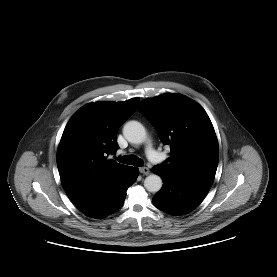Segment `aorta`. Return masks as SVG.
<instances>
[{
  "mask_svg": "<svg viewBox=\"0 0 277 277\" xmlns=\"http://www.w3.org/2000/svg\"><path fill=\"white\" fill-rule=\"evenodd\" d=\"M123 135L128 142L141 144L146 139V130L140 122L129 121L123 127ZM144 187L149 192H158L162 187L161 177L156 174L147 176L144 180Z\"/></svg>",
  "mask_w": 277,
  "mask_h": 277,
  "instance_id": "1",
  "label": "aorta"
}]
</instances>
